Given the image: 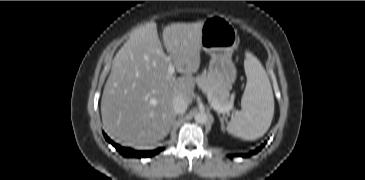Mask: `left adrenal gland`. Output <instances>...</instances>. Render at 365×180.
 Here are the masks:
<instances>
[{"mask_svg": "<svg viewBox=\"0 0 365 180\" xmlns=\"http://www.w3.org/2000/svg\"><path fill=\"white\" fill-rule=\"evenodd\" d=\"M219 120L221 122V128L224 130V118L219 115Z\"/></svg>", "mask_w": 365, "mask_h": 180, "instance_id": "a2214340", "label": "left adrenal gland"}]
</instances>
